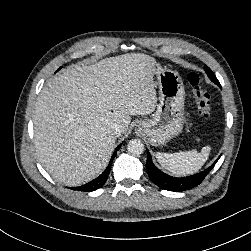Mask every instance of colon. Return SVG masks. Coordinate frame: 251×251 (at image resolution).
I'll use <instances>...</instances> for the list:
<instances>
[{
  "label": "colon",
  "instance_id": "colon-1",
  "mask_svg": "<svg viewBox=\"0 0 251 251\" xmlns=\"http://www.w3.org/2000/svg\"><path fill=\"white\" fill-rule=\"evenodd\" d=\"M188 81L193 89V94L199 115L204 120L211 119L212 106L210 101V95L204 87L202 77L195 72H191L188 75Z\"/></svg>",
  "mask_w": 251,
  "mask_h": 251
}]
</instances>
